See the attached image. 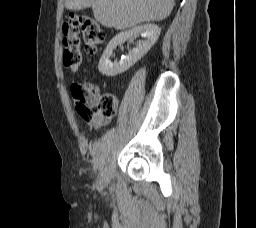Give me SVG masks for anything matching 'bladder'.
<instances>
[{
	"instance_id": "31cf9c89",
	"label": "bladder",
	"mask_w": 256,
	"mask_h": 228,
	"mask_svg": "<svg viewBox=\"0 0 256 228\" xmlns=\"http://www.w3.org/2000/svg\"><path fill=\"white\" fill-rule=\"evenodd\" d=\"M115 147V142L112 138L99 140L95 143L93 147V153L96 157L98 164H102L104 160L110 155L111 151Z\"/></svg>"
}]
</instances>
